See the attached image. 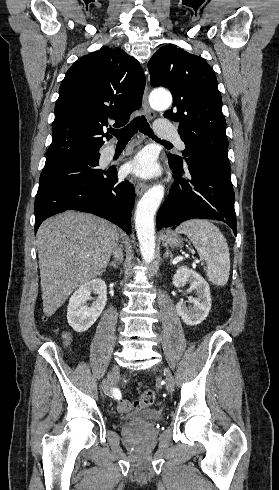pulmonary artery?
Segmentation results:
<instances>
[{"instance_id": "obj_1", "label": "pulmonary artery", "mask_w": 279, "mask_h": 490, "mask_svg": "<svg viewBox=\"0 0 279 490\" xmlns=\"http://www.w3.org/2000/svg\"><path fill=\"white\" fill-rule=\"evenodd\" d=\"M153 128L158 131L159 140H175L177 137V131L172 128L171 122H167L164 117H160L157 122L154 123ZM178 147L184 149V143L177 139Z\"/></svg>"}]
</instances>
